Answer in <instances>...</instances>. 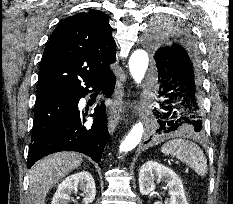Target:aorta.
I'll return each mask as SVG.
<instances>
[{
	"mask_svg": "<svg viewBox=\"0 0 233 204\" xmlns=\"http://www.w3.org/2000/svg\"><path fill=\"white\" fill-rule=\"evenodd\" d=\"M148 54L143 49H138L133 52L129 59V70L133 80L140 84L144 78L148 68ZM144 127L141 122L136 123L128 133L124 141L120 144L119 151L129 152L134 149L142 139Z\"/></svg>",
	"mask_w": 233,
	"mask_h": 204,
	"instance_id": "obj_1",
	"label": "aorta"
}]
</instances>
